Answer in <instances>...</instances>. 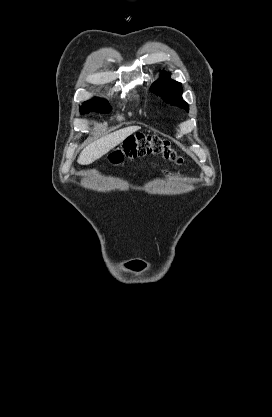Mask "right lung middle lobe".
<instances>
[{"label": "right lung middle lobe", "mask_w": 272, "mask_h": 417, "mask_svg": "<svg viewBox=\"0 0 272 417\" xmlns=\"http://www.w3.org/2000/svg\"><path fill=\"white\" fill-rule=\"evenodd\" d=\"M90 111H98L100 113H108L111 111L109 103L100 98H94L90 101H86L81 107V114L88 113Z\"/></svg>", "instance_id": "obj_1"}]
</instances>
